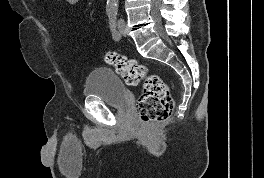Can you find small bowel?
I'll list each match as a JSON object with an SVG mask.
<instances>
[{
	"label": "small bowel",
	"instance_id": "c3829d8e",
	"mask_svg": "<svg viewBox=\"0 0 264 178\" xmlns=\"http://www.w3.org/2000/svg\"><path fill=\"white\" fill-rule=\"evenodd\" d=\"M71 6H78L81 0H66Z\"/></svg>",
	"mask_w": 264,
	"mask_h": 178
}]
</instances>
